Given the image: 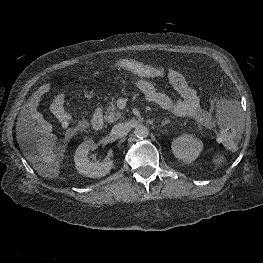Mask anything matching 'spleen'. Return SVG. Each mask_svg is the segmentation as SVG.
<instances>
[{
    "label": "spleen",
    "mask_w": 263,
    "mask_h": 263,
    "mask_svg": "<svg viewBox=\"0 0 263 263\" xmlns=\"http://www.w3.org/2000/svg\"><path fill=\"white\" fill-rule=\"evenodd\" d=\"M212 161L216 166H221L225 162V157L223 155L217 154L216 156H214Z\"/></svg>",
    "instance_id": "1"
}]
</instances>
